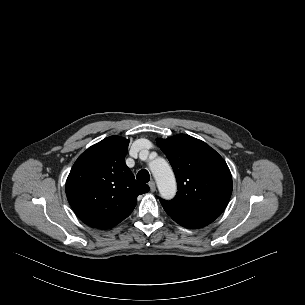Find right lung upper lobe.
<instances>
[{"mask_svg": "<svg viewBox=\"0 0 305 305\" xmlns=\"http://www.w3.org/2000/svg\"><path fill=\"white\" fill-rule=\"evenodd\" d=\"M128 145L123 137H107L82 153L70 171L67 199L88 226L114 227L131 214L137 196L150 190L125 164Z\"/></svg>", "mask_w": 305, "mask_h": 305, "instance_id": "right-lung-upper-lobe-1", "label": "right lung upper lobe"}]
</instances>
